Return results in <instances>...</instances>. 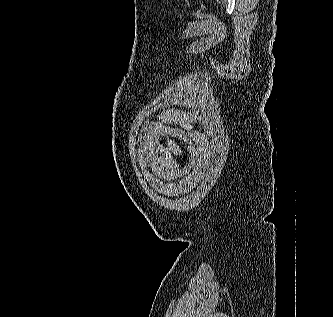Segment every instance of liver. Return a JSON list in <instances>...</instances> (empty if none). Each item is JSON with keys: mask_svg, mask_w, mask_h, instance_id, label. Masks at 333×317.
Masks as SVG:
<instances>
[{"mask_svg": "<svg viewBox=\"0 0 333 317\" xmlns=\"http://www.w3.org/2000/svg\"><path fill=\"white\" fill-rule=\"evenodd\" d=\"M167 144H168L169 149L174 154L181 155V148L179 146H177V144L174 141L167 139Z\"/></svg>", "mask_w": 333, "mask_h": 317, "instance_id": "liver-1", "label": "liver"}]
</instances>
